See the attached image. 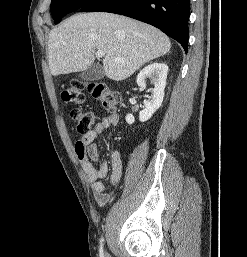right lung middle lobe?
I'll list each match as a JSON object with an SVG mask.
<instances>
[{
  "instance_id": "dd1d6c3e",
  "label": "right lung middle lobe",
  "mask_w": 247,
  "mask_h": 257,
  "mask_svg": "<svg viewBox=\"0 0 247 257\" xmlns=\"http://www.w3.org/2000/svg\"><path fill=\"white\" fill-rule=\"evenodd\" d=\"M91 1L92 0H52L50 9L54 23H59L66 14L81 9Z\"/></svg>"
}]
</instances>
